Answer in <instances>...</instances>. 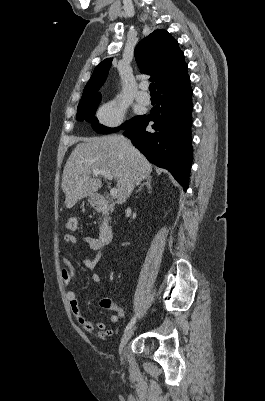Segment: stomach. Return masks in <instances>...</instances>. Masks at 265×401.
<instances>
[{
	"mask_svg": "<svg viewBox=\"0 0 265 401\" xmlns=\"http://www.w3.org/2000/svg\"><path fill=\"white\" fill-rule=\"evenodd\" d=\"M88 203L89 205H95V198H93V196H90V198H88Z\"/></svg>",
	"mask_w": 265,
	"mask_h": 401,
	"instance_id": "1",
	"label": "stomach"
}]
</instances>
